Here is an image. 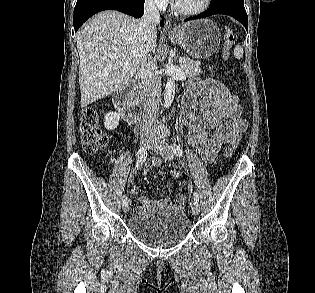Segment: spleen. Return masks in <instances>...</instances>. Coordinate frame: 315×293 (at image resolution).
I'll return each instance as SVG.
<instances>
[{"mask_svg": "<svg viewBox=\"0 0 315 293\" xmlns=\"http://www.w3.org/2000/svg\"><path fill=\"white\" fill-rule=\"evenodd\" d=\"M234 56L237 59H240L243 57V48L240 45L234 48Z\"/></svg>", "mask_w": 315, "mask_h": 293, "instance_id": "spleen-1", "label": "spleen"}]
</instances>
